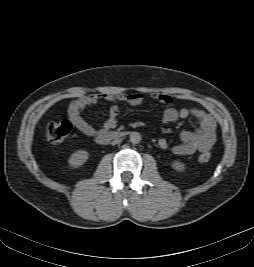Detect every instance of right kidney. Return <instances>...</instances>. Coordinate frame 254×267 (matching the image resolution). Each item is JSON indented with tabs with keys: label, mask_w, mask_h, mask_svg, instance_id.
Instances as JSON below:
<instances>
[{
	"label": "right kidney",
	"mask_w": 254,
	"mask_h": 267,
	"mask_svg": "<svg viewBox=\"0 0 254 267\" xmlns=\"http://www.w3.org/2000/svg\"><path fill=\"white\" fill-rule=\"evenodd\" d=\"M89 157V153L85 150H77L71 154L68 163L70 167L77 168L83 165Z\"/></svg>",
	"instance_id": "1"
}]
</instances>
